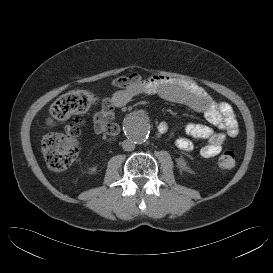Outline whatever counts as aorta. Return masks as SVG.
<instances>
[{
	"instance_id": "aorta-1",
	"label": "aorta",
	"mask_w": 273,
	"mask_h": 273,
	"mask_svg": "<svg viewBox=\"0 0 273 273\" xmlns=\"http://www.w3.org/2000/svg\"><path fill=\"white\" fill-rule=\"evenodd\" d=\"M125 130L135 143H144L148 138V127L146 123L141 119L132 118L125 125Z\"/></svg>"
}]
</instances>
